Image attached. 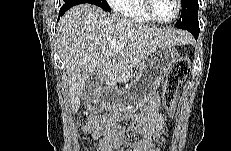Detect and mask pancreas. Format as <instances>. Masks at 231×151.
I'll return each instance as SVG.
<instances>
[{"label": "pancreas", "mask_w": 231, "mask_h": 151, "mask_svg": "<svg viewBox=\"0 0 231 151\" xmlns=\"http://www.w3.org/2000/svg\"><path fill=\"white\" fill-rule=\"evenodd\" d=\"M133 75L132 74H125V75H121L117 78V82L119 83H123V82H127L130 78H132Z\"/></svg>", "instance_id": "cf45deb5"}]
</instances>
